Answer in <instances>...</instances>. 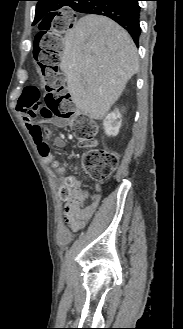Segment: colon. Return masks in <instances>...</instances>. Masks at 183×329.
Segmentation results:
<instances>
[{
  "label": "colon",
  "instance_id": "5ec220e1",
  "mask_svg": "<svg viewBox=\"0 0 183 329\" xmlns=\"http://www.w3.org/2000/svg\"><path fill=\"white\" fill-rule=\"evenodd\" d=\"M78 21L79 14H45L44 19L39 21L40 25H36V31H32V38H36L33 47L36 66H28L27 72L40 74H28L27 86L19 98L17 113L69 121L74 136L87 148L82 156L85 172L93 180L100 181L115 171L119 155L115 151L95 147L96 126L88 115L75 108L65 86L66 74L59 70L60 38H73V26H78ZM35 128L41 130L38 126ZM40 150L47 153L49 144L43 141ZM57 170L62 172L60 168ZM66 181L60 188V197L67 204L75 206L80 201V192L68 178Z\"/></svg>",
  "mask_w": 183,
  "mask_h": 329
}]
</instances>
